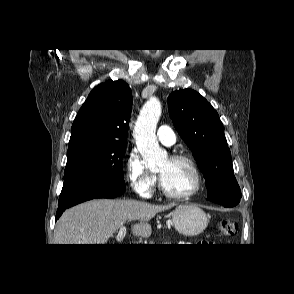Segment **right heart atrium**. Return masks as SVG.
Returning a JSON list of instances; mask_svg holds the SVG:
<instances>
[{"mask_svg": "<svg viewBox=\"0 0 294 294\" xmlns=\"http://www.w3.org/2000/svg\"><path fill=\"white\" fill-rule=\"evenodd\" d=\"M126 180L141 197L149 198L157 184L156 175L149 172L139 154L132 150L126 160Z\"/></svg>", "mask_w": 294, "mask_h": 294, "instance_id": "d8ad5b80", "label": "right heart atrium"}]
</instances>
